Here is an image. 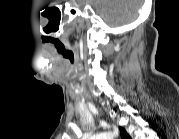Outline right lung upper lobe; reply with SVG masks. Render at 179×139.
Listing matches in <instances>:
<instances>
[{
	"label": "right lung upper lobe",
	"mask_w": 179,
	"mask_h": 139,
	"mask_svg": "<svg viewBox=\"0 0 179 139\" xmlns=\"http://www.w3.org/2000/svg\"><path fill=\"white\" fill-rule=\"evenodd\" d=\"M120 131H121V137L123 139H130V136L127 134V132L123 128H120Z\"/></svg>",
	"instance_id": "cb5924a9"
}]
</instances>
